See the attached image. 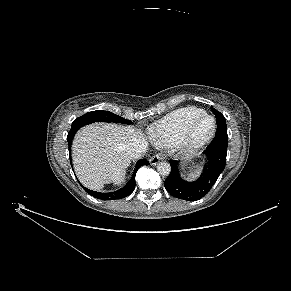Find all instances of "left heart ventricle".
<instances>
[{"mask_svg":"<svg viewBox=\"0 0 291 291\" xmlns=\"http://www.w3.org/2000/svg\"><path fill=\"white\" fill-rule=\"evenodd\" d=\"M211 126H212L211 119L203 120L196 130L197 137L204 136L211 129Z\"/></svg>","mask_w":291,"mask_h":291,"instance_id":"left-heart-ventricle-1","label":"left heart ventricle"}]
</instances>
